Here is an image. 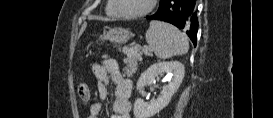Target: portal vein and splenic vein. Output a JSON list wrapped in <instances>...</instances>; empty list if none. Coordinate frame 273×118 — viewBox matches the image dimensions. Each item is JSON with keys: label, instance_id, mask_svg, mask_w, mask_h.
Segmentation results:
<instances>
[{"label": "portal vein and splenic vein", "instance_id": "18ae733b", "mask_svg": "<svg viewBox=\"0 0 273 118\" xmlns=\"http://www.w3.org/2000/svg\"><path fill=\"white\" fill-rule=\"evenodd\" d=\"M130 50L132 51L133 49H130ZM142 50H143V52H145V53H148L149 51H151V49H150V48H147V47L143 48Z\"/></svg>", "mask_w": 273, "mask_h": 118}]
</instances>
